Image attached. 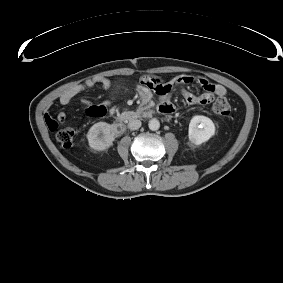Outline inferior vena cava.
I'll return each instance as SVG.
<instances>
[{
	"mask_svg": "<svg viewBox=\"0 0 283 283\" xmlns=\"http://www.w3.org/2000/svg\"><path fill=\"white\" fill-rule=\"evenodd\" d=\"M128 127L130 130H137L141 127V121L138 119L131 120L128 123Z\"/></svg>",
	"mask_w": 283,
	"mask_h": 283,
	"instance_id": "602c4592",
	"label": "inferior vena cava"
}]
</instances>
